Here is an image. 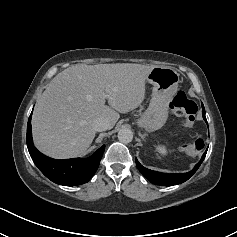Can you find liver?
I'll return each mask as SVG.
<instances>
[{"instance_id": "1", "label": "liver", "mask_w": 237, "mask_h": 237, "mask_svg": "<svg viewBox=\"0 0 237 237\" xmlns=\"http://www.w3.org/2000/svg\"><path fill=\"white\" fill-rule=\"evenodd\" d=\"M154 67L131 63L77 64L58 73L33 112L32 131L37 148L57 159L82 154L95 137L94 120L105 118L112 129L119 113L132 111L143 102L146 77Z\"/></svg>"}]
</instances>
